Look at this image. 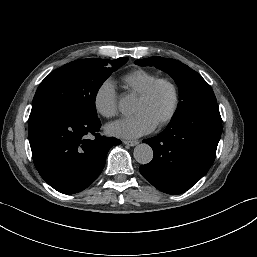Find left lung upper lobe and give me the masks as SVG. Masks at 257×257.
Listing matches in <instances>:
<instances>
[{
	"label": "left lung upper lobe",
	"instance_id": "5c2ea615",
	"mask_svg": "<svg viewBox=\"0 0 257 257\" xmlns=\"http://www.w3.org/2000/svg\"><path fill=\"white\" fill-rule=\"evenodd\" d=\"M135 63L141 66H155L168 73L177 83L180 98L171 121L178 120L205 105L217 104L210 85L200 74L180 61L163 57H151L136 60Z\"/></svg>",
	"mask_w": 257,
	"mask_h": 257
}]
</instances>
